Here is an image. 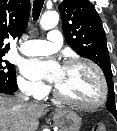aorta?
Here are the masks:
<instances>
[{"instance_id":"obj_1","label":"aorta","mask_w":117,"mask_h":131,"mask_svg":"<svg viewBox=\"0 0 117 131\" xmlns=\"http://www.w3.org/2000/svg\"><path fill=\"white\" fill-rule=\"evenodd\" d=\"M59 21V15L56 12H45L40 20V25L43 29L49 30L54 28Z\"/></svg>"}]
</instances>
